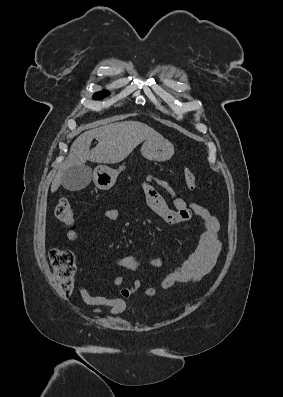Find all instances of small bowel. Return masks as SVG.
<instances>
[{
    "instance_id": "small-bowel-1",
    "label": "small bowel",
    "mask_w": 283,
    "mask_h": 397,
    "mask_svg": "<svg viewBox=\"0 0 283 397\" xmlns=\"http://www.w3.org/2000/svg\"><path fill=\"white\" fill-rule=\"evenodd\" d=\"M154 184L160 185L171 196L174 208L168 205L167 200L155 189ZM142 188L150 209L165 223L169 225L181 224L189 221L195 215L200 218L203 226L196 249L181 265L169 270L159 289H168L175 283H194L199 281L213 269L222 248V243L218 238L220 224L217 217L205 207L197 203H188L181 197L176 196L166 182L154 176H147L142 183ZM119 215L118 209L107 208L102 212L101 218L105 221H115L119 218ZM66 238L69 241H76L79 238V233L74 229L69 230L66 233ZM114 264L129 271H136L139 267L138 261L131 255L116 260ZM148 264L157 268L162 266L163 260L154 258ZM112 283L120 287V297L92 295L86 285L82 284L79 288L82 301L96 313H101V307H106L112 316L121 314L126 309L125 298L140 290L142 284L140 280H134L130 286L125 287V278L122 276L114 277ZM143 292L148 296H153L157 293V289L146 286L143 288Z\"/></svg>"
}]
</instances>
